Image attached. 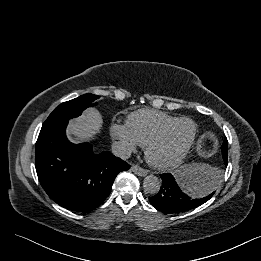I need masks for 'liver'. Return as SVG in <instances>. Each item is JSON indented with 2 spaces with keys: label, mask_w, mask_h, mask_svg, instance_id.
<instances>
[{
  "label": "liver",
  "mask_w": 261,
  "mask_h": 261,
  "mask_svg": "<svg viewBox=\"0 0 261 261\" xmlns=\"http://www.w3.org/2000/svg\"><path fill=\"white\" fill-rule=\"evenodd\" d=\"M103 119L96 109H87L82 116L73 119L67 127L68 138L74 143L90 140L100 132Z\"/></svg>",
  "instance_id": "obj_1"
}]
</instances>
